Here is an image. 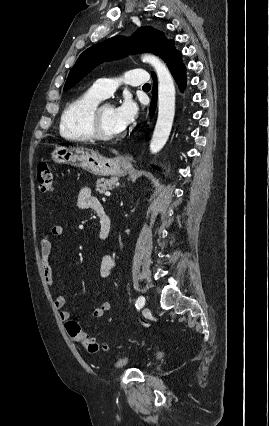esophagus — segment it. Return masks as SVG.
Instances as JSON below:
<instances>
[{
  "label": "esophagus",
  "instance_id": "1",
  "mask_svg": "<svg viewBox=\"0 0 269 426\" xmlns=\"http://www.w3.org/2000/svg\"><path fill=\"white\" fill-rule=\"evenodd\" d=\"M122 159L126 162V163H131L133 160L132 155L130 154H125L124 156H122Z\"/></svg>",
  "mask_w": 269,
  "mask_h": 426
}]
</instances>
